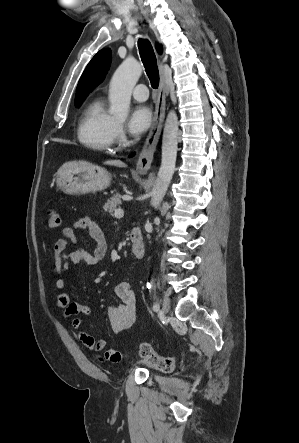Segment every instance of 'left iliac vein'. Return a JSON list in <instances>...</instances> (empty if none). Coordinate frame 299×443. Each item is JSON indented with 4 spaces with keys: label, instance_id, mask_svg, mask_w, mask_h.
<instances>
[{
    "label": "left iliac vein",
    "instance_id": "left-iliac-vein-1",
    "mask_svg": "<svg viewBox=\"0 0 299 443\" xmlns=\"http://www.w3.org/2000/svg\"><path fill=\"white\" fill-rule=\"evenodd\" d=\"M161 311H162V313L164 315H167L169 313V311H170V300H169L168 297L164 298Z\"/></svg>",
    "mask_w": 299,
    "mask_h": 443
}]
</instances>
